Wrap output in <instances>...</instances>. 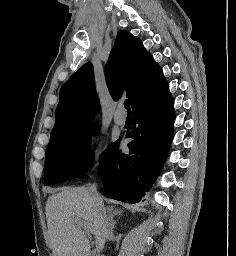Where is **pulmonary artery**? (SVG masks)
Listing matches in <instances>:
<instances>
[{
    "mask_svg": "<svg viewBox=\"0 0 236 256\" xmlns=\"http://www.w3.org/2000/svg\"><path fill=\"white\" fill-rule=\"evenodd\" d=\"M114 122L119 125V126H122L125 124L126 120H120L119 118L115 117L114 118Z\"/></svg>",
    "mask_w": 236,
    "mask_h": 256,
    "instance_id": "pulmonary-artery-1",
    "label": "pulmonary artery"
}]
</instances>
